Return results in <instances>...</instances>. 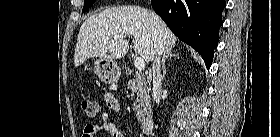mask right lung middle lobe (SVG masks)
<instances>
[{"label": "right lung middle lobe", "mask_w": 280, "mask_h": 137, "mask_svg": "<svg viewBox=\"0 0 280 137\" xmlns=\"http://www.w3.org/2000/svg\"><path fill=\"white\" fill-rule=\"evenodd\" d=\"M96 0H84V7L82 12H86L94 3Z\"/></svg>", "instance_id": "right-lung-middle-lobe-1"}]
</instances>
